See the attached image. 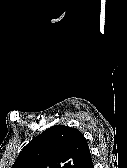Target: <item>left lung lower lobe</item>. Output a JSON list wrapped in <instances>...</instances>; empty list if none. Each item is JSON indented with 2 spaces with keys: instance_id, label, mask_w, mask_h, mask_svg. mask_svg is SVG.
I'll return each instance as SVG.
<instances>
[{
  "instance_id": "left-lung-lower-lobe-1",
  "label": "left lung lower lobe",
  "mask_w": 127,
  "mask_h": 168,
  "mask_svg": "<svg viewBox=\"0 0 127 168\" xmlns=\"http://www.w3.org/2000/svg\"><path fill=\"white\" fill-rule=\"evenodd\" d=\"M80 168H94L89 148H87Z\"/></svg>"
}]
</instances>
